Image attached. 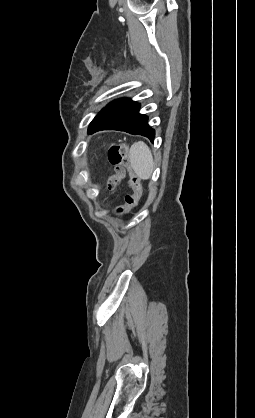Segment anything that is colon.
<instances>
[{
    "instance_id": "1",
    "label": "colon",
    "mask_w": 255,
    "mask_h": 418,
    "mask_svg": "<svg viewBox=\"0 0 255 418\" xmlns=\"http://www.w3.org/2000/svg\"><path fill=\"white\" fill-rule=\"evenodd\" d=\"M128 150L125 145L117 144L109 148L108 159L115 168V174L108 180L107 188L111 189L115 187L123 178H125L129 172L127 164ZM129 182L133 189V195L126 198V203L119 211H128L131 208L137 206L142 195V184L138 176L133 173H129Z\"/></svg>"
}]
</instances>
